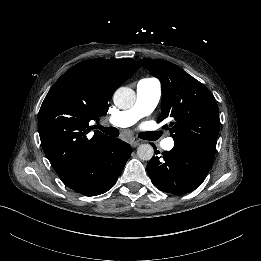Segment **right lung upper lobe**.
I'll return each mask as SVG.
<instances>
[{"instance_id":"right-lung-upper-lobe-1","label":"right lung upper lobe","mask_w":261,"mask_h":261,"mask_svg":"<svg viewBox=\"0 0 261 261\" xmlns=\"http://www.w3.org/2000/svg\"><path fill=\"white\" fill-rule=\"evenodd\" d=\"M133 59H92L76 64L49 90L40 108L38 131L42 148L61 176L81 163L109 138L92 129L108 111L114 91L139 68Z\"/></svg>"}]
</instances>
